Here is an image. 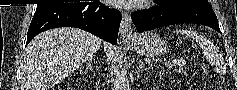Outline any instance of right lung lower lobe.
I'll return each instance as SVG.
<instances>
[{"label":"right lung lower lobe","instance_id":"obj_1","mask_svg":"<svg viewBox=\"0 0 237 90\" xmlns=\"http://www.w3.org/2000/svg\"><path fill=\"white\" fill-rule=\"evenodd\" d=\"M121 13L99 1L41 4L31 21L26 45L39 33L57 27H75L117 44Z\"/></svg>","mask_w":237,"mask_h":90}]
</instances>
